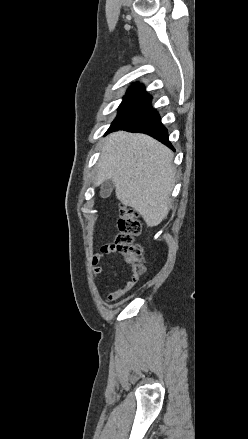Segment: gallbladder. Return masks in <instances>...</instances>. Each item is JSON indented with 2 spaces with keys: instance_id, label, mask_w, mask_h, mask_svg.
I'll list each match as a JSON object with an SVG mask.
<instances>
[{
  "instance_id": "1",
  "label": "gallbladder",
  "mask_w": 248,
  "mask_h": 439,
  "mask_svg": "<svg viewBox=\"0 0 248 439\" xmlns=\"http://www.w3.org/2000/svg\"><path fill=\"white\" fill-rule=\"evenodd\" d=\"M114 188V183L111 179L105 180L101 185V196L107 198L110 196Z\"/></svg>"
}]
</instances>
